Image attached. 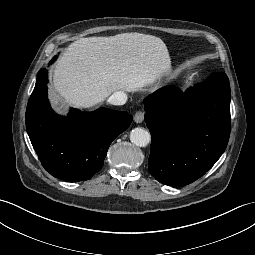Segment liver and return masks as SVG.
Here are the masks:
<instances>
[{
    "mask_svg": "<svg viewBox=\"0 0 255 255\" xmlns=\"http://www.w3.org/2000/svg\"><path fill=\"white\" fill-rule=\"evenodd\" d=\"M170 71L167 47L158 37L123 33L81 38L59 57L53 86L66 103L87 109L116 91H144ZM51 101L59 105L57 97Z\"/></svg>",
    "mask_w": 255,
    "mask_h": 255,
    "instance_id": "6515ba94",
    "label": "liver"
}]
</instances>
